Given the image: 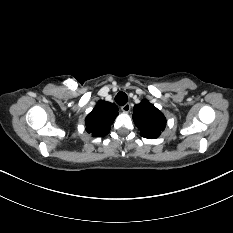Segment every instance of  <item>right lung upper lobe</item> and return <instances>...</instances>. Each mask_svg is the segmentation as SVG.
Segmentation results:
<instances>
[{
	"mask_svg": "<svg viewBox=\"0 0 233 233\" xmlns=\"http://www.w3.org/2000/svg\"><path fill=\"white\" fill-rule=\"evenodd\" d=\"M118 115L115 104L100 100L85 119L86 131L93 137H104Z\"/></svg>",
	"mask_w": 233,
	"mask_h": 233,
	"instance_id": "cb5924a9",
	"label": "right lung upper lobe"
}]
</instances>
